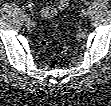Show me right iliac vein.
<instances>
[{
    "instance_id": "obj_1",
    "label": "right iliac vein",
    "mask_w": 111,
    "mask_h": 106,
    "mask_svg": "<svg viewBox=\"0 0 111 106\" xmlns=\"http://www.w3.org/2000/svg\"><path fill=\"white\" fill-rule=\"evenodd\" d=\"M24 21H25L26 25H29L31 23V19H25Z\"/></svg>"
}]
</instances>
